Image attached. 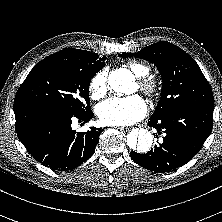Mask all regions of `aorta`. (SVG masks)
Segmentation results:
<instances>
[{"label":"aorta","instance_id":"762f6f07","mask_svg":"<svg viewBox=\"0 0 222 222\" xmlns=\"http://www.w3.org/2000/svg\"><path fill=\"white\" fill-rule=\"evenodd\" d=\"M134 76L127 69L112 71L108 77L110 88L116 93L132 94L134 92ZM153 143V135L147 129L132 131L127 137L129 148L137 153H146Z\"/></svg>","mask_w":222,"mask_h":222}]
</instances>
